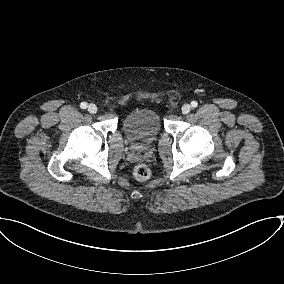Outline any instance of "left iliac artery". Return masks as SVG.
Instances as JSON below:
<instances>
[{"mask_svg": "<svg viewBox=\"0 0 284 284\" xmlns=\"http://www.w3.org/2000/svg\"><path fill=\"white\" fill-rule=\"evenodd\" d=\"M197 105H198V103H197L196 101H192V102H191V106H192L193 108L197 107Z\"/></svg>", "mask_w": 284, "mask_h": 284, "instance_id": "44dca946", "label": "left iliac artery"}]
</instances>
